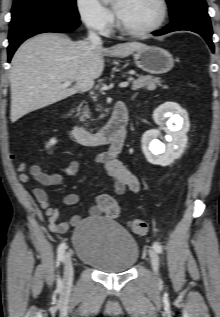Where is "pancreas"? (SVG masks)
<instances>
[{
  "label": "pancreas",
  "mask_w": 220,
  "mask_h": 317,
  "mask_svg": "<svg viewBox=\"0 0 220 317\" xmlns=\"http://www.w3.org/2000/svg\"><path fill=\"white\" fill-rule=\"evenodd\" d=\"M128 81L132 82V89L133 90L144 88L146 90L152 91V90H155L157 85H160V83H161L160 78L153 77L150 75H146V76L140 75V76H138L137 79L130 77L128 79ZM89 117H90L89 111H88V109H85L81 119L85 120L86 118H89Z\"/></svg>",
  "instance_id": "obj_1"
}]
</instances>
